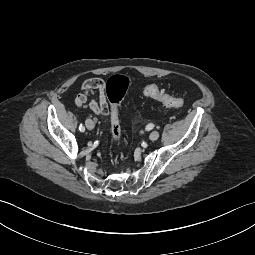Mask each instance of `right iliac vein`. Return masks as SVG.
Listing matches in <instances>:
<instances>
[{"label": "right iliac vein", "instance_id": "1", "mask_svg": "<svg viewBox=\"0 0 255 255\" xmlns=\"http://www.w3.org/2000/svg\"><path fill=\"white\" fill-rule=\"evenodd\" d=\"M85 124H86L87 129H89V130H92L94 128V122L91 119H87Z\"/></svg>", "mask_w": 255, "mask_h": 255}]
</instances>
